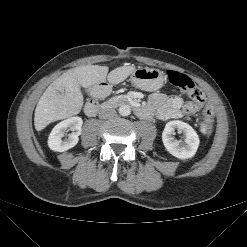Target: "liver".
Returning <instances> with one entry per match:
<instances>
[{
  "mask_svg": "<svg viewBox=\"0 0 247 247\" xmlns=\"http://www.w3.org/2000/svg\"><path fill=\"white\" fill-rule=\"evenodd\" d=\"M135 69V66H120L108 74L107 66L85 65L68 70L53 81L40 97L35 109V129L41 131L52 122L77 115L83 106L81 86L90 88L106 80L119 84Z\"/></svg>",
  "mask_w": 247,
  "mask_h": 247,
  "instance_id": "obj_1",
  "label": "liver"
}]
</instances>
